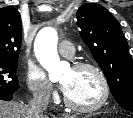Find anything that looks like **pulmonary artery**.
Returning <instances> with one entry per match:
<instances>
[{"mask_svg": "<svg viewBox=\"0 0 133 118\" xmlns=\"http://www.w3.org/2000/svg\"><path fill=\"white\" fill-rule=\"evenodd\" d=\"M75 52L74 45L69 41H62L59 44V53L64 56L71 58Z\"/></svg>", "mask_w": 133, "mask_h": 118, "instance_id": "e3ab8cb5", "label": "pulmonary artery"}]
</instances>
